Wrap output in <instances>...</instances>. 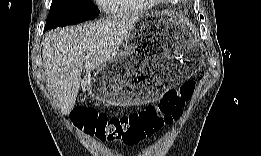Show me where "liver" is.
Masks as SVG:
<instances>
[{
  "label": "liver",
  "instance_id": "liver-1",
  "mask_svg": "<svg viewBox=\"0 0 261 156\" xmlns=\"http://www.w3.org/2000/svg\"><path fill=\"white\" fill-rule=\"evenodd\" d=\"M140 15H113L95 23L54 29L43 40V67L63 115L74 108L82 76L110 61Z\"/></svg>",
  "mask_w": 261,
  "mask_h": 156
}]
</instances>
